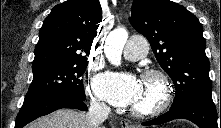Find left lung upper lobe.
<instances>
[{
	"mask_svg": "<svg viewBox=\"0 0 221 128\" xmlns=\"http://www.w3.org/2000/svg\"><path fill=\"white\" fill-rule=\"evenodd\" d=\"M130 22L148 39L160 66L174 82L176 97L170 109L191 100L212 101L206 42L195 15L170 0H134Z\"/></svg>",
	"mask_w": 221,
	"mask_h": 128,
	"instance_id": "obj_1",
	"label": "left lung upper lobe"
}]
</instances>
